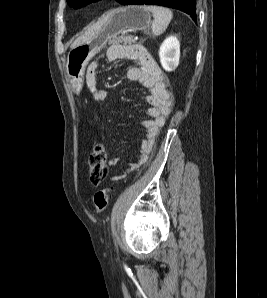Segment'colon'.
I'll list each match as a JSON object with an SVG mask.
<instances>
[{
	"mask_svg": "<svg viewBox=\"0 0 267 298\" xmlns=\"http://www.w3.org/2000/svg\"><path fill=\"white\" fill-rule=\"evenodd\" d=\"M108 165L109 162L104 147L96 143L89 158V174L93 185L98 186L102 183L106 177ZM109 197V188H102L94 194L93 205L96 213H101L107 208Z\"/></svg>",
	"mask_w": 267,
	"mask_h": 298,
	"instance_id": "obj_1",
	"label": "colon"
}]
</instances>
